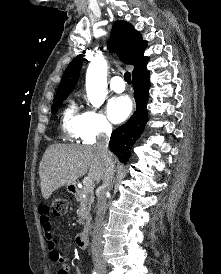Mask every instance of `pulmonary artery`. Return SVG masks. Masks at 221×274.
Wrapping results in <instances>:
<instances>
[{
	"label": "pulmonary artery",
	"mask_w": 221,
	"mask_h": 274,
	"mask_svg": "<svg viewBox=\"0 0 221 274\" xmlns=\"http://www.w3.org/2000/svg\"><path fill=\"white\" fill-rule=\"evenodd\" d=\"M110 87L116 93H121L125 90V82L120 76H113L110 80Z\"/></svg>",
	"instance_id": "pulmonary-artery-1"
}]
</instances>
